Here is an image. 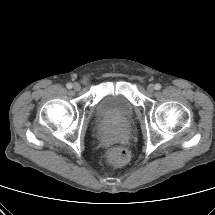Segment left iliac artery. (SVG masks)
Instances as JSON below:
<instances>
[{
    "label": "left iliac artery",
    "instance_id": "left-iliac-artery-1",
    "mask_svg": "<svg viewBox=\"0 0 215 215\" xmlns=\"http://www.w3.org/2000/svg\"><path fill=\"white\" fill-rule=\"evenodd\" d=\"M155 89L156 90H160L161 89V85L159 83L155 84Z\"/></svg>",
    "mask_w": 215,
    "mask_h": 215
}]
</instances>
